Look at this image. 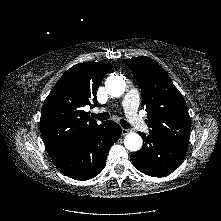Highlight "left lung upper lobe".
<instances>
[{
    "instance_id": "5c2ea615",
    "label": "left lung upper lobe",
    "mask_w": 221,
    "mask_h": 221,
    "mask_svg": "<svg viewBox=\"0 0 221 221\" xmlns=\"http://www.w3.org/2000/svg\"><path fill=\"white\" fill-rule=\"evenodd\" d=\"M142 90L149 133L188 144L191 120L186 102L166 71L149 57L125 60Z\"/></svg>"
}]
</instances>
